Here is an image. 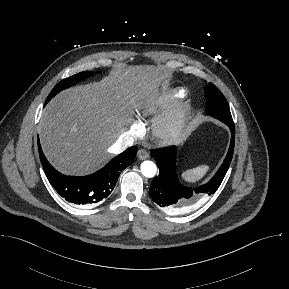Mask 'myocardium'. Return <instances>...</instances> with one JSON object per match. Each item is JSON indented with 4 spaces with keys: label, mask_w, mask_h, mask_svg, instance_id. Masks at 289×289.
I'll use <instances>...</instances> for the list:
<instances>
[{
    "label": "myocardium",
    "mask_w": 289,
    "mask_h": 289,
    "mask_svg": "<svg viewBox=\"0 0 289 289\" xmlns=\"http://www.w3.org/2000/svg\"><path fill=\"white\" fill-rule=\"evenodd\" d=\"M189 113L190 108L187 103H179L171 107L155 120L153 135L161 143L174 142L183 134L188 123Z\"/></svg>",
    "instance_id": "obj_1"
}]
</instances>
